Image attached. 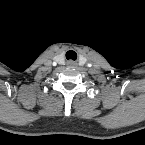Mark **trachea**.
<instances>
[{
	"instance_id": "3493384b",
	"label": "trachea",
	"mask_w": 145,
	"mask_h": 145,
	"mask_svg": "<svg viewBox=\"0 0 145 145\" xmlns=\"http://www.w3.org/2000/svg\"><path fill=\"white\" fill-rule=\"evenodd\" d=\"M66 58L68 60L71 59V60H74L75 61L77 59V53L75 51H73V50H69L66 53Z\"/></svg>"
}]
</instances>
